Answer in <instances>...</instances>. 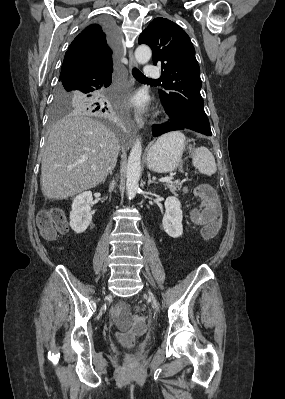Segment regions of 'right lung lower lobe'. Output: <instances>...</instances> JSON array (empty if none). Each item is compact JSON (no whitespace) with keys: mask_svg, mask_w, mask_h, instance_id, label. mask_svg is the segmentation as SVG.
<instances>
[{"mask_svg":"<svg viewBox=\"0 0 285 399\" xmlns=\"http://www.w3.org/2000/svg\"><path fill=\"white\" fill-rule=\"evenodd\" d=\"M100 24L107 34L109 44L115 49L117 44V30L115 24L108 19L102 20ZM112 66L104 69L83 67L62 78L60 83L72 84L74 87L83 90L87 96L95 97L111 84L113 73ZM91 103L95 107L102 108L106 104V102L99 103L97 100H91Z\"/></svg>","mask_w":285,"mask_h":399,"instance_id":"obj_1","label":"right lung lower lobe"}]
</instances>
